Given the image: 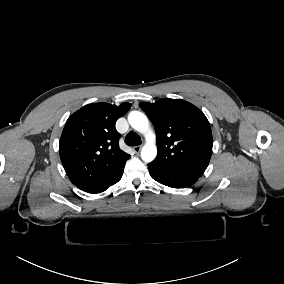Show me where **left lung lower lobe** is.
Segmentation results:
<instances>
[{
	"label": "left lung lower lobe",
	"instance_id": "obj_1",
	"mask_svg": "<svg viewBox=\"0 0 284 284\" xmlns=\"http://www.w3.org/2000/svg\"><path fill=\"white\" fill-rule=\"evenodd\" d=\"M148 169L151 177L154 180L173 188L189 187L198 180V177L196 176L172 172L160 166L154 165L153 163L148 164Z\"/></svg>",
	"mask_w": 284,
	"mask_h": 284
}]
</instances>
